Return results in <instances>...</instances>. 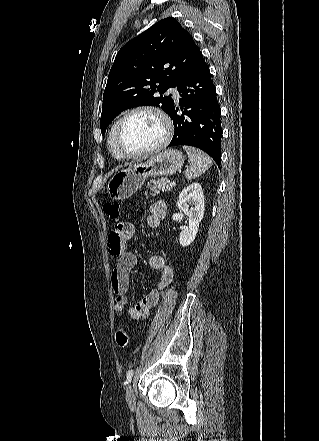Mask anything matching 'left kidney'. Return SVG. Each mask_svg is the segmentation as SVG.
Returning <instances> with one entry per match:
<instances>
[{
	"mask_svg": "<svg viewBox=\"0 0 319 441\" xmlns=\"http://www.w3.org/2000/svg\"><path fill=\"white\" fill-rule=\"evenodd\" d=\"M177 205L180 211L188 216L189 225L180 233L179 242L182 247L192 244L198 232L199 223L203 219L205 204L204 194L199 183H192L179 194Z\"/></svg>",
	"mask_w": 319,
	"mask_h": 441,
	"instance_id": "obj_1",
	"label": "left kidney"
}]
</instances>
